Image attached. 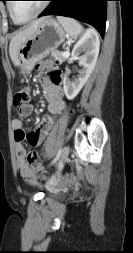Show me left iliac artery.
<instances>
[{
  "instance_id": "left-iliac-artery-1",
  "label": "left iliac artery",
  "mask_w": 133,
  "mask_h": 253,
  "mask_svg": "<svg viewBox=\"0 0 133 253\" xmlns=\"http://www.w3.org/2000/svg\"><path fill=\"white\" fill-rule=\"evenodd\" d=\"M61 152H62L61 150L58 151L56 157L53 159V161L51 162V164H54V163H56L59 160V158L61 156Z\"/></svg>"
}]
</instances>
